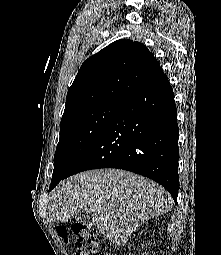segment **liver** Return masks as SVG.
Instances as JSON below:
<instances>
[{"instance_id": "obj_1", "label": "liver", "mask_w": 221, "mask_h": 255, "mask_svg": "<svg viewBox=\"0 0 221 255\" xmlns=\"http://www.w3.org/2000/svg\"><path fill=\"white\" fill-rule=\"evenodd\" d=\"M49 219L66 223L84 212L111 242L125 246L146 220L171 209L172 198L156 182L116 169L90 170L74 175L51 193Z\"/></svg>"}]
</instances>
